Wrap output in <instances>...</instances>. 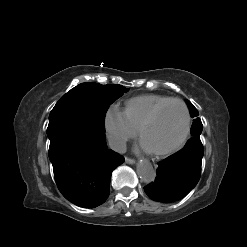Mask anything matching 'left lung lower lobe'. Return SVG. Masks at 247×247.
<instances>
[{"label": "left lung lower lobe", "instance_id": "0a47b994", "mask_svg": "<svg viewBox=\"0 0 247 247\" xmlns=\"http://www.w3.org/2000/svg\"><path fill=\"white\" fill-rule=\"evenodd\" d=\"M202 157L200 138L192 137L182 150L158 163L155 182L144 187L148 197L165 203L185 197L199 181Z\"/></svg>", "mask_w": 247, "mask_h": 247}]
</instances>
